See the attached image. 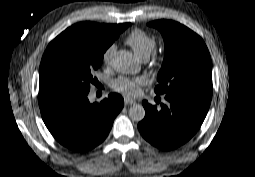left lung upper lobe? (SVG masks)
Masks as SVG:
<instances>
[{
    "label": "left lung upper lobe",
    "mask_w": 255,
    "mask_h": 177,
    "mask_svg": "<svg viewBox=\"0 0 255 177\" xmlns=\"http://www.w3.org/2000/svg\"><path fill=\"white\" fill-rule=\"evenodd\" d=\"M148 25L157 28L165 42V57L155 92L172 94L185 89L212 90L211 58L200 36L170 20H157Z\"/></svg>",
    "instance_id": "left-lung-upper-lobe-1"
}]
</instances>
